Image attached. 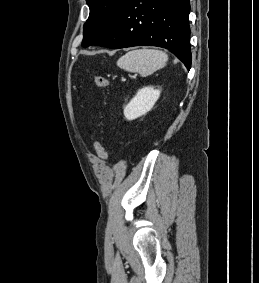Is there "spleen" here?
I'll return each instance as SVG.
<instances>
[{
	"instance_id": "spleen-1",
	"label": "spleen",
	"mask_w": 259,
	"mask_h": 283,
	"mask_svg": "<svg viewBox=\"0 0 259 283\" xmlns=\"http://www.w3.org/2000/svg\"><path fill=\"white\" fill-rule=\"evenodd\" d=\"M168 62L166 53L156 49H137L129 51L117 61L118 67L129 72L148 76L163 68Z\"/></svg>"
}]
</instances>
